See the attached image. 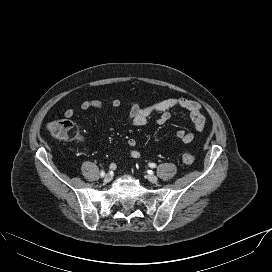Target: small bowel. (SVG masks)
<instances>
[{"instance_id": "obj_1", "label": "small bowel", "mask_w": 272, "mask_h": 272, "mask_svg": "<svg viewBox=\"0 0 272 272\" xmlns=\"http://www.w3.org/2000/svg\"><path fill=\"white\" fill-rule=\"evenodd\" d=\"M121 105L120 100L111 99L106 103L100 100H85L80 104L81 110L89 109H103L105 106H109L112 109H117ZM130 125L135 127L143 126L147 123L148 119L155 114H158L157 123L159 125L165 124L170 118V111L175 108L185 110L191 119L193 127L196 131H203L206 126V118L201 112V106L198 102L187 98H169L157 102H153L147 105H142L138 102H130L128 105ZM76 115V111L69 108L64 111L66 118H73ZM176 138L179 142L189 144L193 141L194 135L191 132H187L180 129L176 133ZM127 151L130 157L133 159H140L141 154L136 149V141L130 139L127 142ZM111 168H116V164L112 163Z\"/></svg>"}]
</instances>
